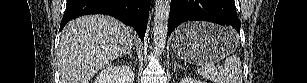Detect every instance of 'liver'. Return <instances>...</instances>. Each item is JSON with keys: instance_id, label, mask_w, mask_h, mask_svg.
I'll list each match as a JSON object with an SVG mask.
<instances>
[{"instance_id": "6515ba94", "label": "liver", "mask_w": 307, "mask_h": 83, "mask_svg": "<svg viewBox=\"0 0 307 83\" xmlns=\"http://www.w3.org/2000/svg\"><path fill=\"white\" fill-rule=\"evenodd\" d=\"M132 46V29L113 17L89 15L68 22L57 53L60 83H89Z\"/></svg>"}]
</instances>
